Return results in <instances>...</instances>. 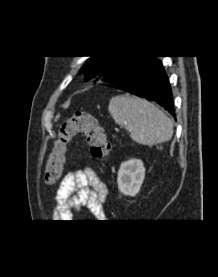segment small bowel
<instances>
[{
    "instance_id": "1",
    "label": "small bowel",
    "mask_w": 218,
    "mask_h": 277,
    "mask_svg": "<svg viewBox=\"0 0 218 277\" xmlns=\"http://www.w3.org/2000/svg\"><path fill=\"white\" fill-rule=\"evenodd\" d=\"M107 188L90 167L67 174L56 192L53 215L59 220H70L83 207L98 219L104 218L103 204Z\"/></svg>"
}]
</instances>
